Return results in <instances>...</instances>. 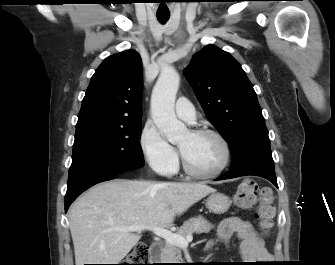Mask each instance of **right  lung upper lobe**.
<instances>
[{
    "label": "right lung upper lobe",
    "instance_id": "right-lung-upper-lobe-1",
    "mask_svg": "<svg viewBox=\"0 0 335 265\" xmlns=\"http://www.w3.org/2000/svg\"><path fill=\"white\" fill-rule=\"evenodd\" d=\"M142 60L127 50L109 56L91 78L76 129L121 126L142 119Z\"/></svg>",
    "mask_w": 335,
    "mask_h": 265
}]
</instances>
